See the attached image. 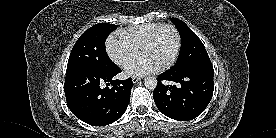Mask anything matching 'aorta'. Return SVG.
<instances>
[{"mask_svg": "<svg viewBox=\"0 0 276 138\" xmlns=\"http://www.w3.org/2000/svg\"><path fill=\"white\" fill-rule=\"evenodd\" d=\"M144 85L147 89H150V90L155 89L157 86L156 77H153V76L146 77L144 80Z\"/></svg>", "mask_w": 276, "mask_h": 138, "instance_id": "1", "label": "aorta"}]
</instances>
